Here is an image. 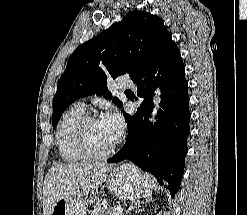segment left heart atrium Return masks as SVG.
I'll list each match as a JSON object with an SVG mask.
<instances>
[{
    "mask_svg": "<svg viewBox=\"0 0 247 215\" xmlns=\"http://www.w3.org/2000/svg\"><path fill=\"white\" fill-rule=\"evenodd\" d=\"M102 123L106 126L112 136L117 140L125 127L122 116L116 111H108L101 118Z\"/></svg>",
    "mask_w": 247,
    "mask_h": 215,
    "instance_id": "left-heart-atrium-1",
    "label": "left heart atrium"
}]
</instances>
